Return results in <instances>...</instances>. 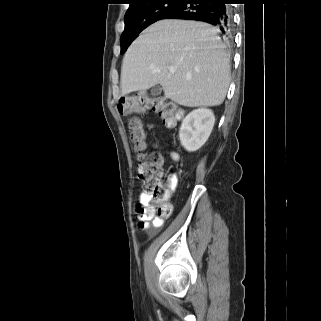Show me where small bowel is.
<instances>
[{"mask_svg": "<svg viewBox=\"0 0 321 321\" xmlns=\"http://www.w3.org/2000/svg\"><path fill=\"white\" fill-rule=\"evenodd\" d=\"M158 157L160 158L161 162L163 163L164 157L161 154H158ZM166 183H167V197H170L174 194L177 184H178V178L176 174L169 173L166 177ZM151 200V195L146 192L142 191L139 194V205H148ZM139 214V213H138ZM164 220L163 218L159 216H155L153 214H139V226L142 229L147 230L150 234H155L158 229L163 225Z\"/></svg>", "mask_w": 321, "mask_h": 321, "instance_id": "small-bowel-1", "label": "small bowel"}]
</instances>
